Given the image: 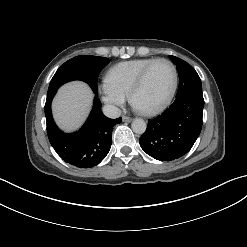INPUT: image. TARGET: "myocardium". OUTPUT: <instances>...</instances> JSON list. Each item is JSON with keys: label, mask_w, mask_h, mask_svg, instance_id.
<instances>
[{"label": "myocardium", "mask_w": 247, "mask_h": 247, "mask_svg": "<svg viewBox=\"0 0 247 247\" xmlns=\"http://www.w3.org/2000/svg\"><path fill=\"white\" fill-rule=\"evenodd\" d=\"M160 62H166L168 63L172 70H173V83H172V87L171 90L168 94V96L166 97V99L158 106H156L155 108L152 109H148V110H141L139 109L143 114L145 115H155L160 113L161 111H163L172 101L175 92L177 90V86H178V70L176 65L169 59L167 58H157L156 60H154L153 62H151L149 65H147L142 71L141 73L138 75V77L136 78L135 82L133 83L130 91H129V99L131 101V103L135 106L134 103V99H135V95L137 93V91L141 88V86L143 85L148 73L150 72V70L157 64Z\"/></svg>", "instance_id": "myocardium-1"}]
</instances>
